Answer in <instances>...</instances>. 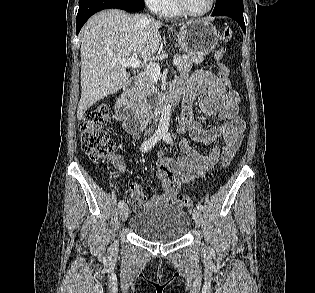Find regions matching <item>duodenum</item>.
Wrapping results in <instances>:
<instances>
[{
  "instance_id": "1",
  "label": "duodenum",
  "mask_w": 315,
  "mask_h": 293,
  "mask_svg": "<svg viewBox=\"0 0 315 293\" xmlns=\"http://www.w3.org/2000/svg\"><path fill=\"white\" fill-rule=\"evenodd\" d=\"M135 85L136 81L127 84L115 104L119 120L123 122L125 130L133 134L142 131L154 117L156 111H160L165 105L175 106L180 98L177 92L171 91L167 99L155 109V112L142 113L130 103Z\"/></svg>"
}]
</instances>
